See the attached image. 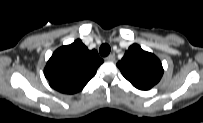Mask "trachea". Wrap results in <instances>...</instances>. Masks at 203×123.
<instances>
[{
  "label": "trachea",
  "mask_w": 203,
  "mask_h": 123,
  "mask_svg": "<svg viewBox=\"0 0 203 123\" xmlns=\"http://www.w3.org/2000/svg\"><path fill=\"white\" fill-rule=\"evenodd\" d=\"M110 50H111V48L108 44H103V45H101V47L99 49V53L101 56L105 57V56L109 55Z\"/></svg>",
  "instance_id": "1"
}]
</instances>
